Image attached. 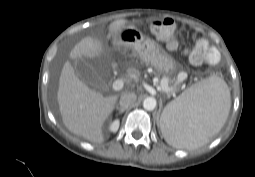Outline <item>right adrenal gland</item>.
Returning a JSON list of instances; mask_svg holds the SVG:
<instances>
[{
	"mask_svg": "<svg viewBox=\"0 0 255 177\" xmlns=\"http://www.w3.org/2000/svg\"><path fill=\"white\" fill-rule=\"evenodd\" d=\"M116 110H118L119 111V114H122L126 109H124V108H120V107H116Z\"/></svg>",
	"mask_w": 255,
	"mask_h": 177,
	"instance_id": "obj_1",
	"label": "right adrenal gland"
}]
</instances>
